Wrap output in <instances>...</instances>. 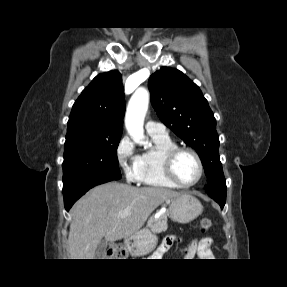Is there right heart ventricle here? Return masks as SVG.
Returning <instances> with one entry per match:
<instances>
[{
	"label": "right heart ventricle",
	"mask_w": 287,
	"mask_h": 287,
	"mask_svg": "<svg viewBox=\"0 0 287 287\" xmlns=\"http://www.w3.org/2000/svg\"><path fill=\"white\" fill-rule=\"evenodd\" d=\"M150 136L154 146L139 155V182L156 187L177 188L178 186L166 176L163 167L164 153L176 147V143L169 136Z\"/></svg>",
	"instance_id": "1"
}]
</instances>
